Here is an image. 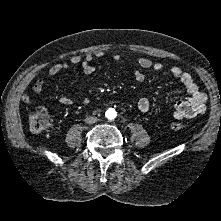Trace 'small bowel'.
<instances>
[{"label":"small bowel","instance_id":"c3829d8e","mask_svg":"<svg viewBox=\"0 0 221 221\" xmlns=\"http://www.w3.org/2000/svg\"><path fill=\"white\" fill-rule=\"evenodd\" d=\"M103 52H96L86 54L84 57L75 55L70 58L68 62H60L52 65L48 70L49 76H55L61 72H65L71 69L72 66H80L85 74H91L95 71L93 65L94 59H103ZM113 59L115 61H121L123 58L120 54H115ZM141 69H154L164 70L165 66L162 63L154 62L148 57H140L137 60ZM141 69L134 71V78L138 82H142L145 79V74ZM169 72L173 78L181 82L189 93V97L186 99H180L175 102L174 105V117L177 119L192 118L199 114H202L206 110V94L199 88L192 75L178 67L172 66ZM46 86V81L42 78L35 80L30 85V91L32 93H40ZM21 99L24 103L31 102V94L26 91L22 94ZM59 102L64 105H73L74 100L66 95L59 96ZM82 103H86V100H82ZM138 109L141 112H147L150 109V102L146 98H142L137 103Z\"/></svg>","mask_w":221,"mask_h":221}]
</instances>
